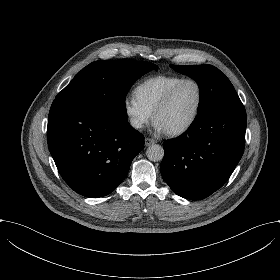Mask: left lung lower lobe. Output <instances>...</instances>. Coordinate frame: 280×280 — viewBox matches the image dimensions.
Returning a JSON list of instances; mask_svg holds the SVG:
<instances>
[{"instance_id":"left-lung-lower-lobe-1","label":"left lung lower lobe","mask_w":280,"mask_h":280,"mask_svg":"<svg viewBox=\"0 0 280 280\" xmlns=\"http://www.w3.org/2000/svg\"><path fill=\"white\" fill-rule=\"evenodd\" d=\"M246 125L241 100L197 115L184 134L163 143V180L181 197H208L225 184L241 159Z\"/></svg>"}]
</instances>
